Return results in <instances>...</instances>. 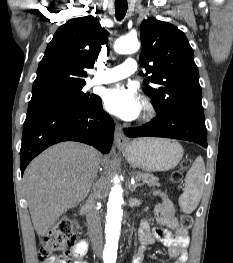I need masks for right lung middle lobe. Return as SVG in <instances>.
<instances>
[{
  "label": "right lung middle lobe",
  "mask_w": 233,
  "mask_h": 263,
  "mask_svg": "<svg viewBox=\"0 0 233 263\" xmlns=\"http://www.w3.org/2000/svg\"><path fill=\"white\" fill-rule=\"evenodd\" d=\"M84 85L32 96L27 115L55 109H75L91 104L97 96L83 93L81 90Z\"/></svg>",
  "instance_id": "dd1d6c3e"
}]
</instances>
